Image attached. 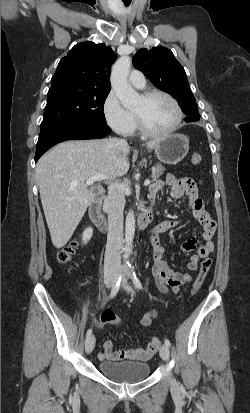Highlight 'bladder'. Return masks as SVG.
Instances as JSON below:
<instances>
[{
  "label": "bladder",
  "mask_w": 250,
  "mask_h": 413,
  "mask_svg": "<svg viewBox=\"0 0 250 413\" xmlns=\"http://www.w3.org/2000/svg\"><path fill=\"white\" fill-rule=\"evenodd\" d=\"M98 367L102 374L119 383L139 382L150 373V365L138 361H101Z\"/></svg>",
  "instance_id": "bladder-1"
}]
</instances>
